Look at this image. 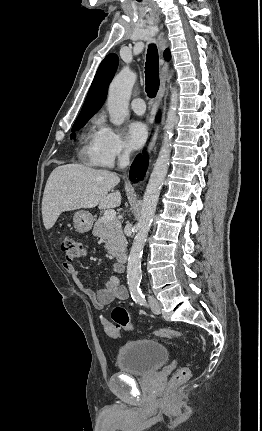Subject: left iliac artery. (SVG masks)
Listing matches in <instances>:
<instances>
[{
    "label": "left iliac artery",
    "mask_w": 262,
    "mask_h": 431,
    "mask_svg": "<svg viewBox=\"0 0 262 431\" xmlns=\"http://www.w3.org/2000/svg\"><path fill=\"white\" fill-rule=\"evenodd\" d=\"M128 284L132 299L140 305H146L145 296L140 288V281L129 282Z\"/></svg>",
    "instance_id": "obj_1"
}]
</instances>
